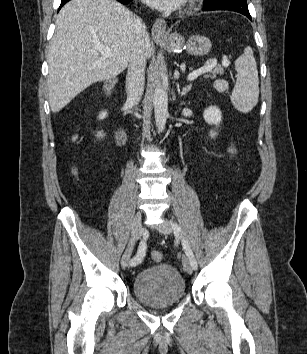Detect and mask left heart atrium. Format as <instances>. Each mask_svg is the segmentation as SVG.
I'll list each match as a JSON object with an SVG mask.
<instances>
[{
    "mask_svg": "<svg viewBox=\"0 0 307 354\" xmlns=\"http://www.w3.org/2000/svg\"><path fill=\"white\" fill-rule=\"evenodd\" d=\"M147 4L163 11H171L179 8L185 0H143Z\"/></svg>",
    "mask_w": 307,
    "mask_h": 354,
    "instance_id": "39dd6f15",
    "label": "left heart atrium"
}]
</instances>
